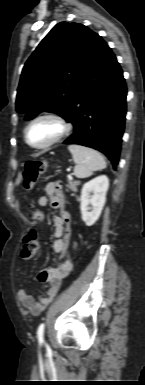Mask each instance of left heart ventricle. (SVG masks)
<instances>
[{"instance_id":"b2bd125f","label":"left heart ventricle","mask_w":145,"mask_h":385,"mask_svg":"<svg viewBox=\"0 0 145 385\" xmlns=\"http://www.w3.org/2000/svg\"><path fill=\"white\" fill-rule=\"evenodd\" d=\"M60 132V126L48 119L36 122L29 129L28 139L33 145H44L55 138Z\"/></svg>"}]
</instances>
